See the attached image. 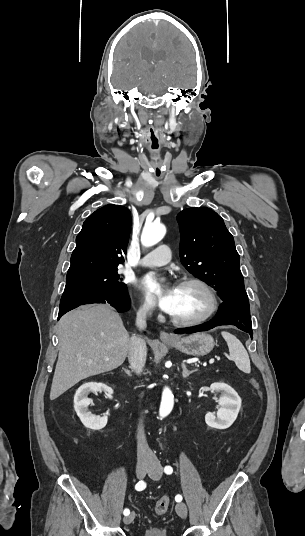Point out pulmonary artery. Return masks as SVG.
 <instances>
[{
  "label": "pulmonary artery",
  "instance_id": "pulmonary-artery-1",
  "mask_svg": "<svg viewBox=\"0 0 305 536\" xmlns=\"http://www.w3.org/2000/svg\"><path fill=\"white\" fill-rule=\"evenodd\" d=\"M169 254L170 249L167 245H159L143 256L140 261V265L144 267H156L165 265L171 260V257L168 256Z\"/></svg>",
  "mask_w": 305,
  "mask_h": 536
}]
</instances>
